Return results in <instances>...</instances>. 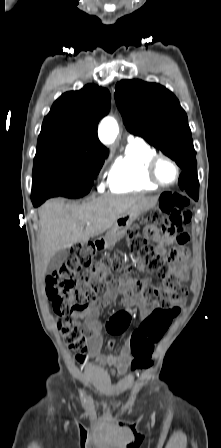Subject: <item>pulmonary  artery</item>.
Instances as JSON below:
<instances>
[{
    "instance_id": "pulmonary-artery-1",
    "label": "pulmonary artery",
    "mask_w": 221,
    "mask_h": 448,
    "mask_svg": "<svg viewBox=\"0 0 221 448\" xmlns=\"http://www.w3.org/2000/svg\"><path fill=\"white\" fill-rule=\"evenodd\" d=\"M128 140H129L130 142H139V141H140V138L131 136V137L128 138Z\"/></svg>"
}]
</instances>
